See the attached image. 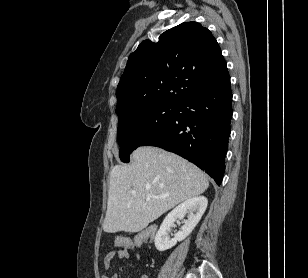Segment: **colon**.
<instances>
[{
	"instance_id": "colon-1",
	"label": "colon",
	"mask_w": 308,
	"mask_h": 278,
	"mask_svg": "<svg viewBox=\"0 0 308 278\" xmlns=\"http://www.w3.org/2000/svg\"><path fill=\"white\" fill-rule=\"evenodd\" d=\"M159 228L158 226H146L139 235L134 236V242L128 238L119 236L115 239L116 246L121 250H138L139 246L144 242H152L154 237H157Z\"/></svg>"
}]
</instances>
